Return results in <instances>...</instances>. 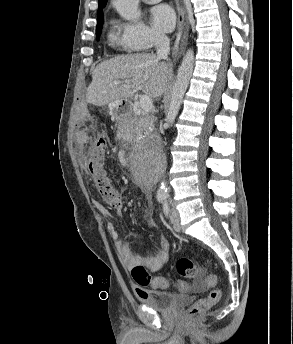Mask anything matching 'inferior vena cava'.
I'll use <instances>...</instances> for the list:
<instances>
[{
	"mask_svg": "<svg viewBox=\"0 0 293 344\" xmlns=\"http://www.w3.org/2000/svg\"><path fill=\"white\" fill-rule=\"evenodd\" d=\"M154 41L157 57L159 59H167L170 51V39L165 34L155 33Z\"/></svg>",
	"mask_w": 293,
	"mask_h": 344,
	"instance_id": "inferior-vena-cava-1",
	"label": "inferior vena cava"
}]
</instances>
